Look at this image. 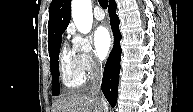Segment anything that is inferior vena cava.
Here are the masks:
<instances>
[{"label":"inferior vena cava","instance_id":"1","mask_svg":"<svg viewBox=\"0 0 193 112\" xmlns=\"http://www.w3.org/2000/svg\"><path fill=\"white\" fill-rule=\"evenodd\" d=\"M93 84L91 88V93L101 96V83H102V66L99 62H96L93 67ZM102 97V96H101Z\"/></svg>","mask_w":193,"mask_h":112}]
</instances>
